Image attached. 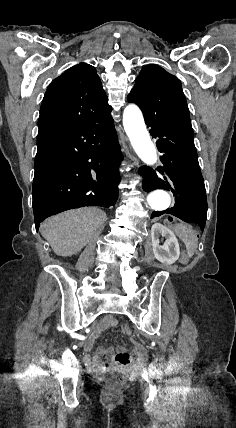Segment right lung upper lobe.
I'll return each mask as SVG.
<instances>
[{
	"label": "right lung upper lobe",
	"mask_w": 236,
	"mask_h": 428,
	"mask_svg": "<svg viewBox=\"0 0 236 428\" xmlns=\"http://www.w3.org/2000/svg\"><path fill=\"white\" fill-rule=\"evenodd\" d=\"M96 69L80 63L48 86L40 110L37 138L82 126L111 113Z\"/></svg>",
	"instance_id": "obj_1"
}]
</instances>
